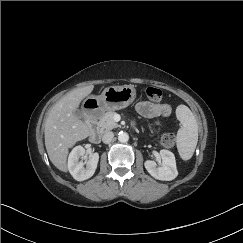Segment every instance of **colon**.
Returning a JSON list of instances; mask_svg holds the SVG:
<instances>
[{"label":"colon","instance_id":"1","mask_svg":"<svg viewBox=\"0 0 243 243\" xmlns=\"http://www.w3.org/2000/svg\"><path fill=\"white\" fill-rule=\"evenodd\" d=\"M146 96L152 102H160L163 94L159 88L149 87L146 89ZM159 142L162 146L170 148L176 143V137L172 133H166L159 137Z\"/></svg>","mask_w":243,"mask_h":243}]
</instances>
